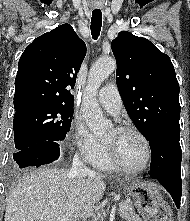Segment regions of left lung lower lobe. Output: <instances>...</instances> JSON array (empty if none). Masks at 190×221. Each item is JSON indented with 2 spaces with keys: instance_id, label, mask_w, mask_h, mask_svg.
Listing matches in <instances>:
<instances>
[{
  "instance_id": "1",
  "label": "left lung lower lobe",
  "mask_w": 190,
  "mask_h": 221,
  "mask_svg": "<svg viewBox=\"0 0 190 221\" xmlns=\"http://www.w3.org/2000/svg\"><path fill=\"white\" fill-rule=\"evenodd\" d=\"M180 130L165 129L148 141L151 148L149 176L158 180L171 194L177 208L182 195Z\"/></svg>"
}]
</instances>
